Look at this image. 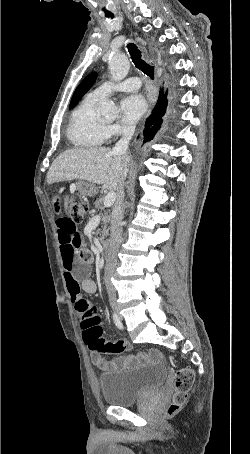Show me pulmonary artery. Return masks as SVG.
Masks as SVG:
<instances>
[{
	"label": "pulmonary artery",
	"instance_id": "obj_1",
	"mask_svg": "<svg viewBox=\"0 0 250 454\" xmlns=\"http://www.w3.org/2000/svg\"><path fill=\"white\" fill-rule=\"evenodd\" d=\"M141 87V80L138 77H130L122 82L106 81L94 89L89 95L100 100L107 95L118 91H134Z\"/></svg>",
	"mask_w": 250,
	"mask_h": 454
}]
</instances>
